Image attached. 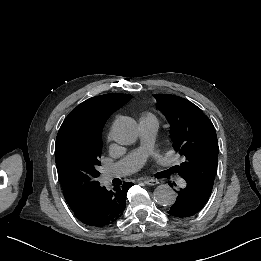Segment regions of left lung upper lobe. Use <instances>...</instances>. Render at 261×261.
Masks as SVG:
<instances>
[{
	"mask_svg": "<svg viewBox=\"0 0 261 261\" xmlns=\"http://www.w3.org/2000/svg\"><path fill=\"white\" fill-rule=\"evenodd\" d=\"M157 108L170 123L173 148L185 162L177 166L178 174L195 176L213 185L218 164V141L212 122L190 101L174 96L155 94Z\"/></svg>",
	"mask_w": 261,
	"mask_h": 261,
	"instance_id": "obj_1",
	"label": "left lung upper lobe"
}]
</instances>
